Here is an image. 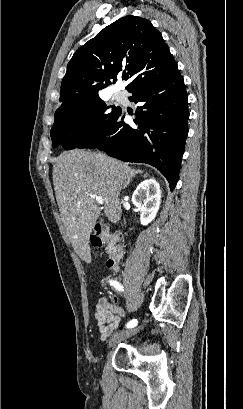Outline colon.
Listing matches in <instances>:
<instances>
[{
    "mask_svg": "<svg viewBox=\"0 0 243 409\" xmlns=\"http://www.w3.org/2000/svg\"><path fill=\"white\" fill-rule=\"evenodd\" d=\"M91 244L96 247H104L108 254L106 265L109 269L117 270L122 258L123 239L118 234H109L101 227H96L90 238Z\"/></svg>",
    "mask_w": 243,
    "mask_h": 409,
    "instance_id": "colon-1",
    "label": "colon"
}]
</instances>
